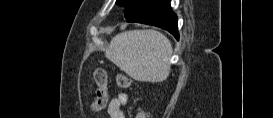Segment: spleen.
Here are the masks:
<instances>
[{
  "label": "spleen",
  "mask_w": 273,
  "mask_h": 118,
  "mask_svg": "<svg viewBox=\"0 0 273 118\" xmlns=\"http://www.w3.org/2000/svg\"><path fill=\"white\" fill-rule=\"evenodd\" d=\"M172 45L155 30H132L116 35L105 56L131 78L141 82H161L170 73Z\"/></svg>",
  "instance_id": "3e777b00"
}]
</instances>
